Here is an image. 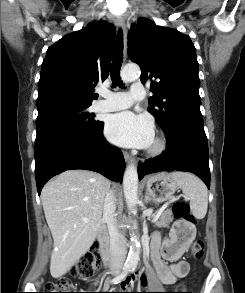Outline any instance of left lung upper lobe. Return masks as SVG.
Here are the masks:
<instances>
[{
  "mask_svg": "<svg viewBox=\"0 0 245 293\" xmlns=\"http://www.w3.org/2000/svg\"><path fill=\"white\" fill-rule=\"evenodd\" d=\"M130 59L141 68V81L151 79L148 111L164 130L177 121L203 125L198 62L191 39L181 32L139 20L129 32Z\"/></svg>",
  "mask_w": 245,
  "mask_h": 293,
  "instance_id": "obj_1",
  "label": "left lung upper lobe"
}]
</instances>
